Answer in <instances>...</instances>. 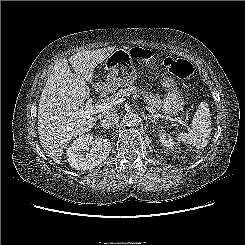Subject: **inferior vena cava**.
<instances>
[{
    "mask_svg": "<svg viewBox=\"0 0 245 245\" xmlns=\"http://www.w3.org/2000/svg\"><path fill=\"white\" fill-rule=\"evenodd\" d=\"M119 121V115L114 112H110L105 114L101 119H100V124L103 128L109 129L113 128Z\"/></svg>",
    "mask_w": 245,
    "mask_h": 245,
    "instance_id": "1",
    "label": "inferior vena cava"
}]
</instances>
